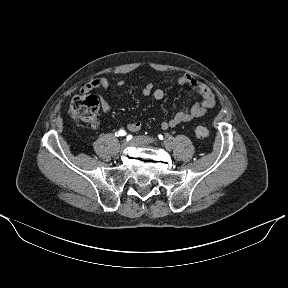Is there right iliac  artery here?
<instances>
[{
	"instance_id": "82829eb1",
	"label": "right iliac artery",
	"mask_w": 288,
	"mask_h": 288,
	"mask_svg": "<svg viewBox=\"0 0 288 288\" xmlns=\"http://www.w3.org/2000/svg\"><path fill=\"white\" fill-rule=\"evenodd\" d=\"M126 132L124 130H119L117 133H115V136H124Z\"/></svg>"
}]
</instances>
